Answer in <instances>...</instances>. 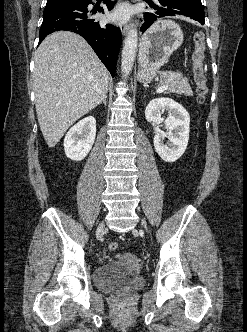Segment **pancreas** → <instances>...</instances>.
I'll return each mask as SVG.
<instances>
[{
    "label": "pancreas",
    "instance_id": "obj_1",
    "mask_svg": "<svg viewBox=\"0 0 247 332\" xmlns=\"http://www.w3.org/2000/svg\"><path fill=\"white\" fill-rule=\"evenodd\" d=\"M160 85H169L168 89L165 91L166 94L176 93L184 94L186 96H191L193 94L190 85L188 84V79L183 77L180 72H168L160 76Z\"/></svg>",
    "mask_w": 247,
    "mask_h": 332
}]
</instances>
